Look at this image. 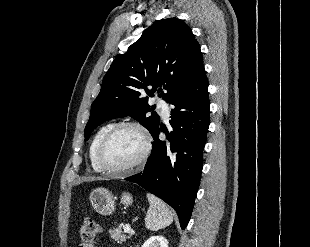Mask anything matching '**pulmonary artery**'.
Masks as SVG:
<instances>
[{
    "label": "pulmonary artery",
    "instance_id": "1",
    "mask_svg": "<svg viewBox=\"0 0 310 247\" xmlns=\"http://www.w3.org/2000/svg\"><path fill=\"white\" fill-rule=\"evenodd\" d=\"M158 106L161 109L164 119L167 120L170 116V111H171L170 103L165 99H161L158 102Z\"/></svg>",
    "mask_w": 310,
    "mask_h": 247
}]
</instances>
